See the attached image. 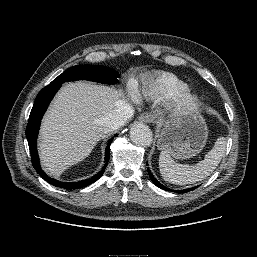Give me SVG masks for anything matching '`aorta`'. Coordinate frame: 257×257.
<instances>
[{
  "mask_svg": "<svg viewBox=\"0 0 257 257\" xmlns=\"http://www.w3.org/2000/svg\"><path fill=\"white\" fill-rule=\"evenodd\" d=\"M131 140L140 146L147 147L152 143V132L150 128L143 123H134L130 129Z\"/></svg>",
  "mask_w": 257,
  "mask_h": 257,
  "instance_id": "762f6f07",
  "label": "aorta"
}]
</instances>
